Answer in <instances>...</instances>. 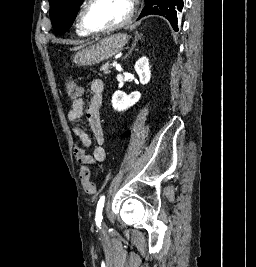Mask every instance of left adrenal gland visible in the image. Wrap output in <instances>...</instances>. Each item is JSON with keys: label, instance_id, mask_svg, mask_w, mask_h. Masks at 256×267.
Returning <instances> with one entry per match:
<instances>
[{"label": "left adrenal gland", "instance_id": "left-adrenal-gland-1", "mask_svg": "<svg viewBox=\"0 0 256 267\" xmlns=\"http://www.w3.org/2000/svg\"><path fill=\"white\" fill-rule=\"evenodd\" d=\"M138 40H141V36H140V34H138V32H136L134 44H132L131 50H130V52H128V54H126V56H129V54H131V52H132V50H134L136 44H138ZM126 56H125V58H126Z\"/></svg>", "mask_w": 256, "mask_h": 267}]
</instances>
